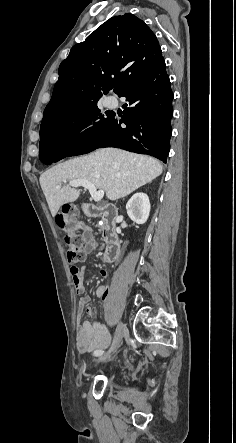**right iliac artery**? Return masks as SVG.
Instances as JSON below:
<instances>
[{"label":"right iliac artery","instance_id":"82829eb1","mask_svg":"<svg viewBox=\"0 0 236 443\" xmlns=\"http://www.w3.org/2000/svg\"><path fill=\"white\" fill-rule=\"evenodd\" d=\"M103 352H104V351H102V350H98V351H95V352H94V355H95V356H100V355L103 354Z\"/></svg>","mask_w":236,"mask_h":443}]
</instances>
